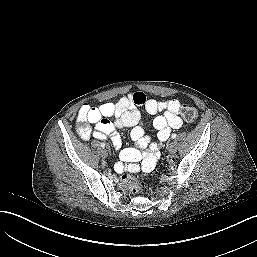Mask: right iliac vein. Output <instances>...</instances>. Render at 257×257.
Segmentation results:
<instances>
[{"label": "right iliac vein", "instance_id": "obj_1", "mask_svg": "<svg viewBox=\"0 0 257 257\" xmlns=\"http://www.w3.org/2000/svg\"><path fill=\"white\" fill-rule=\"evenodd\" d=\"M102 156H103L104 158H106V157L108 156V152H107L106 149H103V150H102Z\"/></svg>", "mask_w": 257, "mask_h": 257}]
</instances>
